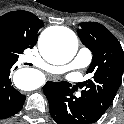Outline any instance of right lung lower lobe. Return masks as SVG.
<instances>
[{"mask_svg": "<svg viewBox=\"0 0 124 124\" xmlns=\"http://www.w3.org/2000/svg\"><path fill=\"white\" fill-rule=\"evenodd\" d=\"M14 64L0 62V119L19 112L25 101V96L11 85L10 74L16 68Z\"/></svg>", "mask_w": 124, "mask_h": 124, "instance_id": "1", "label": "right lung lower lobe"}]
</instances>
